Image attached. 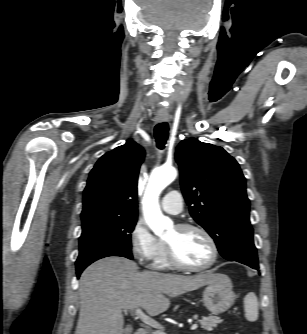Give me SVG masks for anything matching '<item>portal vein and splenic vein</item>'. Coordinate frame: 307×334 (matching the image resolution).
I'll return each mask as SVG.
<instances>
[{"label": "portal vein and splenic vein", "instance_id": "1", "mask_svg": "<svg viewBox=\"0 0 307 334\" xmlns=\"http://www.w3.org/2000/svg\"><path fill=\"white\" fill-rule=\"evenodd\" d=\"M135 315L142 321L144 322L145 324L151 326V327H154L156 329H158V331H162L163 330V327L157 322L155 321L154 319H152L150 316L146 315L142 309L140 308H136L135 309ZM198 325L197 324H193L191 326V330H195L197 329Z\"/></svg>", "mask_w": 307, "mask_h": 334}]
</instances>
